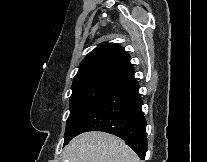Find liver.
<instances>
[{"label":"liver","mask_w":207,"mask_h":162,"mask_svg":"<svg viewBox=\"0 0 207 162\" xmlns=\"http://www.w3.org/2000/svg\"><path fill=\"white\" fill-rule=\"evenodd\" d=\"M64 162H141L119 137L105 132H86L64 149Z\"/></svg>","instance_id":"obj_1"}]
</instances>
